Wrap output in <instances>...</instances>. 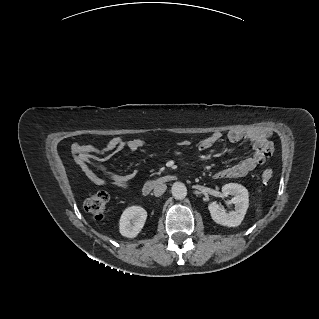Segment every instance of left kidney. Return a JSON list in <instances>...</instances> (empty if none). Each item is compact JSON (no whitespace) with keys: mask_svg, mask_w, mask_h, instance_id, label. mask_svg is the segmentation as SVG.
Here are the masks:
<instances>
[{"mask_svg":"<svg viewBox=\"0 0 319 319\" xmlns=\"http://www.w3.org/2000/svg\"><path fill=\"white\" fill-rule=\"evenodd\" d=\"M222 192L225 196H233L231 202L235 205V210L227 212L222 205L211 202L208 205L211 217L217 224L237 227L243 221L249 207L248 190L240 184L229 183L223 185Z\"/></svg>","mask_w":319,"mask_h":319,"instance_id":"1","label":"left kidney"}]
</instances>
